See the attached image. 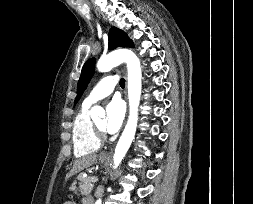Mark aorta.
Here are the masks:
<instances>
[{
	"mask_svg": "<svg viewBox=\"0 0 253 204\" xmlns=\"http://www.w3.org/2000/svg\"><path fill=\"white\" fill-rule=\"evenodd\" d=\"M125 62L128 70V99H129V118L125 129L117 143L115 153L113 157L114 168H116L127 153L132 140L134 139L137 121H138V107L141 97V66L140 61L136 54L131 50L120 49L109 53L99 59L97 63V69L100 72L110 71L113 67ZM91 118L97 119L98 117H104L105 111L102 107L94 106L91 109ZM102 200L99 198L95 204H101Z\"/></svg>",
	"mask_w": 253,
	"mask_h": 204,
	"instance_id": "aorta-1",
	"label": "aorta"
}]
</instances>
